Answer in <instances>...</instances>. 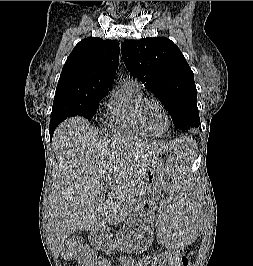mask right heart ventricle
Instances as JSON below:
<instances>
[{
	"label": "right heart ventricle",
	"instance_id": "obj_1",
	"mask_svg": "<svg viewBox=\"0 0 253 266\" xmlns=\"http://www.w3.org/2000/svg\"><path fill=\"white\" fill-rule=\"evenodd\" d=\"M144 98L141 86L133 80L125 79L115 88L107 110V126L115 135L141 139L147 135L138 127L135 109Z\"/></svg>",
	"mask_w": 253,
	"mask_h": 266
}]
</instances>
